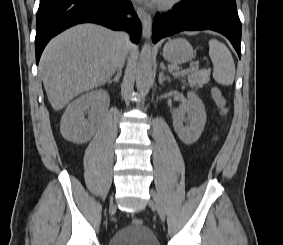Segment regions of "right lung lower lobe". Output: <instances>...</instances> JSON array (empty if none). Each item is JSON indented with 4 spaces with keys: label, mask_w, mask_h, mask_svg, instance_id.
Segmentation results:
<instances>
[{
    "label": "right lung lower lobe",
    "mask_w": 283,
    "mask_h": 245,
    "mask_svg": "<svg viewBox=\"0 0 283 245\" xmlns=\"http://www.w3.org/2000/svg\"><path fill=\"white\" fill-rule=\"evenodd\" d=\"M127 13L133 15L132 20L126 19ZM83 22L128 30L133 42L139 41L142 30L129 0H40L36 17V63L52 37Z\"/></svg>",
    "instance_id": "98d812e1"
}]
</instances>
